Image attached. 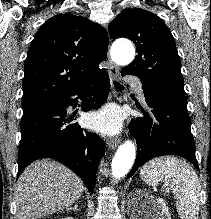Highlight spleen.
<instances>
[{
    "instance_id": "3e777b00",
    "label": "spleen",
    "mask_w": 211,
    "mask_h": 219,
    "mask_svg": "<svg viewBox=\"0 0 211 219\" xmlns=\"http://www.w3.org/2000/svg\"><path fill=\"white\" fill-rule=\"evenodd\" d=\"M146 184L167 185L176 199L181 219H198L200 206V183L196 172L185 161L176 157L155 158L140 170Z\"/></svg>"
}]
</instances>
